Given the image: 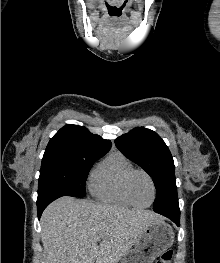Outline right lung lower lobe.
<instances>
[{"label": "right lung lower lobe", "instance_id": "right-lung-lower-lobe-1", "mask_svg": "<svg viewBox=\"0 0 220 263\" xmlns=\"http://www.w3.org/2000/svg\"><path fill=\"white\" fill-rule=\"evenodd\" d=\"M61 197V195H56L53 196L47 200H44L42 202H37V208H38V219H40L42 212L44 211V209L55 199Z\"/></svg>", "mask_w": 220, "mask_h": 263}]
</instances>
